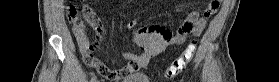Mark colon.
I'll list each match as a JSON object with an SVG mask.
<instances>
[{"instance_id": "5ec220e1", "label": "colon", "mask_w": 279, "mask_h": 82, "mask_svg": "<svg viewBox=\"0 0 279 82\" xmlns=\"http://www.w3.org/2000/svg\"><path fill=\"white\" fill-rule=\"evenodd\" d=\"M219 2L220 1H211L210 4H218ZM66 16L70 24L80 25V19L84 18L92 27H99L101 25V21L96 15V13L87 5H84L81 8L76 6L68 7ZM196 47L197 42L196 39L193 38L191 43L188 46H186L182 53L174 59L173 63L167 67L165 71V77L171 78L184 71L186 66L191 61Z\"/></svg>"}]
</instances>
